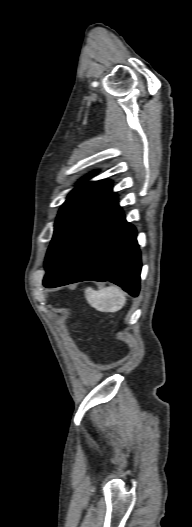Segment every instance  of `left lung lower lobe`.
I'll return each mask as SVG.
<instances>
[{"instance_id":"1","label":"left lung lower lobe","mask_w":192,"mask_h":527,"mask_svg":"<svg viewBox=\"0 0 192 527\" xmlns=\"http://www.w3.org/2000/svg\"><path fill=\"white\" fill-rule=\"evenodd\" d=\"M136 235L111 193L75 233L45 275L44 286L109 280L137 296L141 258Z\"/></svg>"}]
</instances>
